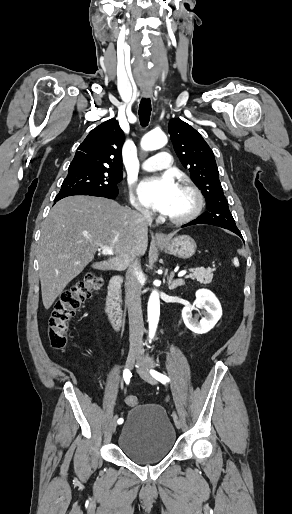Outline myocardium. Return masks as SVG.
I'll use <instances>...</instances> for the list:
<instances>
[{
  "instance_id": "myocardium-1",
  "label": "myocardium",
  "mask_w": 292,
  "mask_h": 514,
  "mask_svg": "<svg viewBox=\"0 0 292 514\" xmlns=\"http://www.w3.org/2000/svg\"><path fill=\"white\" fill-rule=\"evenodd\" d=\"M180 189L188 192L193 199V205L191 209L184 215L175 216L169 213L166 214L167 218L173 223H184L195 218L199 212L201 211L203 204V197L200 190L190 181H183L180 186Z\"/></svg>"
}]
</instances>
